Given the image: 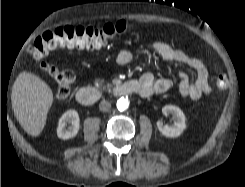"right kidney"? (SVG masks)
I'll return each instance as SVG.
<instances>
[{
  "label": "right kidney",
  "mask_w": 245,
  "mask_h": 187,
  "mask_svg": "<svg viewBox=\"0 0 245 187\" xmlns=\"http://www.w3.org/2000/svg\"><path fill=\"white\" fill-rule=\"evenodd\" d=\"M67 124H71L66 128ZM80 128V119L76 110L70 109L66 111L59 119L57 127V136L60 139L67 140L75 137Z\"/></svg>",
  "instance_id": "obj_1"
}]
</instances>
